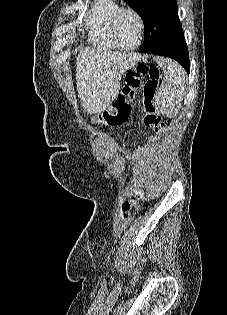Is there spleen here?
Segmentation results:
<instances>
[{
  "mask_svg": "<svg viewBox=\"0 0 227 315\" xmlns=\"http://www.w3.org/2000/svg\"><path fill=\"white\" fill-rule=\"evenodd\" d=\"M157 63L164 70V78L155 102L159 111L168 116H175L186 93L185 74L181 68L169 59L157 58Z\"/></svg>",
  "mask_w": 227,
  "mask_h": 315,
  "instance_id": "obj_1",
  "label": "spleen"
}]
</instances>
